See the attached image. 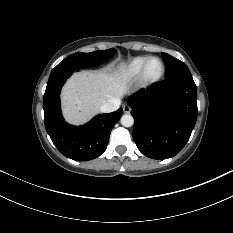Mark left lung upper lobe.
Listing matches in <instances>:
<instances>
[{
  "instance_id": "5c2ea615",
  "label": "left lung upper lobe",
  "mask_w": 233,
  "mask_h": 233,
  "mask_svg": "<svg viewBox=\"0 0 233 233\" xmlns=\"http://www.w3.org/2000/svg\"><path fill=\"white\" fill-rule=\"evenodd\" d=\"M166 69V80H172L174 78H190L192 77L188 67L180 60L163 53L162 54Z\"/></svg>"
}]
</instances>
